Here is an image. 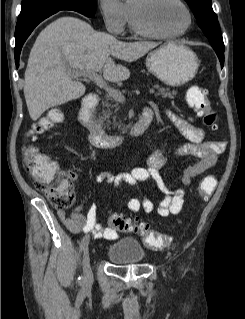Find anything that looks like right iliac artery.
<instances>
[{
    "label": "right iliac artery",
    "instance_id": "1",
    "mask_svg": "<svg viewBox=\"0 0 245 319\" xmlns=\"http://www.w3.org/2000/svg\"><path fill=\"white\" fill-rule=\"evenodd\" d=\"M80 250L83 251L84 250V245L81 243L80 244ZM80 282H82V279L79 277L78 278Z\"/></svg>",
    "mask_w": 245,
    "mask_h": 319
}]
</instances>
